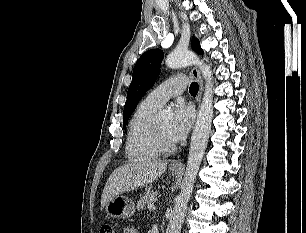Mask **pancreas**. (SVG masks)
I'll return each instance as SVG.
<instances>
[{"label": "pancreas", "mask_w": 306, "mask_h": 233, "mask_svg": "<svg viewBox=\"0 0 306 233\" xmlns=\"http://www.w3.org/2000/svg\"><path fill=\"white\" fill-rule=\"evenodd\" d=\"M157 199V192H150L145 194L138 200L136 208L138 210L145 208L147 205L152 204Z\"/></svg>", "instance_id": "cf45deb5"}]
</instances>
